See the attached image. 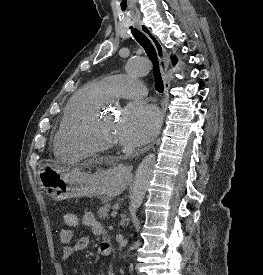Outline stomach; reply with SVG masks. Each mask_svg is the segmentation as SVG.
Instances as JSON below:
<instances>
[{
	"label": "stomach",
	"mask_w": 263,
	"mask_h": 275,
	"mask_svg": "<svg viewBox=\"0 0 263 275\" xmlns=\"http://www.w3.org/2000/svg\"><path fill=\"white\" fill-rule=\"evenodd\" d=\"M38 178L46 194L58 201L89 195L111 198L123 192L127 183L126 173L119 166L99 169L91 174L80 168L45 164Z\"/></svg>",
	"instance_id": "stomach-1"
}]
</instances>
